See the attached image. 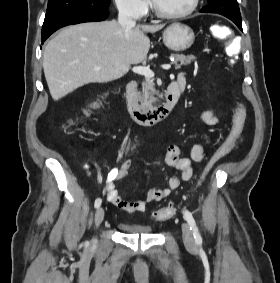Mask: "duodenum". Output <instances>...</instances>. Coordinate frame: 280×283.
<instances>
[{
	"mask_svg": "<svg viewBox=\"0 0 280 283\" xmlns=\"http://www.w3.org/2000/svg\"><path fill=\"white\" fill-rule=\"evenodd\" d=\"M181 94L178 82H172L164 95L162 102L153 108L143 106L138 97L137 83L129 82L126 89L127 108L132 118L141 125L149 126L161 122L172 112Z\"/></svg>",
	"mask_w": 280,
	"mask_h": 283,
	"instance_id": "1",
	"label": "duodenum"
}]
</instances>
